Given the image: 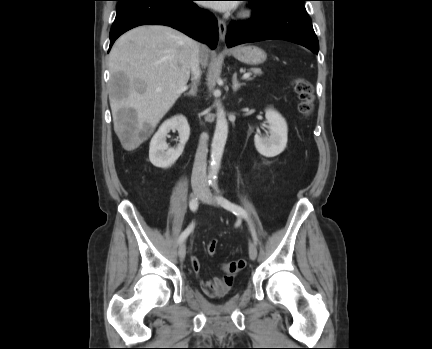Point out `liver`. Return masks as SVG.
Masks as SVG:
<instances>
[{
  "instance_id": "liver-1",
  "label": "liver",
  "mask_w": 432,
  "mask_h": 349,
  "mask_svg": "<svg viewBox=\"0 0 432 349\" xmlns=\"http://www.w3.org/2000/svg\"><path fill=\"white\" fill-rule=\"evenodd\" d=\"M194 41L167 26H140L126 32L109 54V101L114 131L126 151L138 148L186 90ZM209 48L199 45L200 62ZM122 74V77H119ZM131 109L133 116H121Z\"/></svg>"
}]
</instances>
